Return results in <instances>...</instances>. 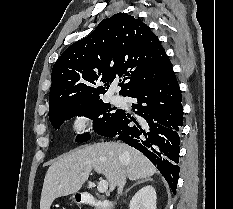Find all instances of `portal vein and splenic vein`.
I'll return each mask as SVG.
<instances>
[{"mask_svg": "<svg viewBox=\"0 0 233 209\" xmlns=\"http://www.w3.org/2000/svg\"><path fill=\"white\" fill-rule=\"evenodd\" d=\"M99 193H105L108 190V182L106 180L100 179L97 186Z\"/></svg>", "mask_w": 233, "mask_h": 209, "instance_id": "obj_1", "label": "portal vein and splenic vein"}]
</instances>
